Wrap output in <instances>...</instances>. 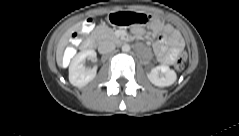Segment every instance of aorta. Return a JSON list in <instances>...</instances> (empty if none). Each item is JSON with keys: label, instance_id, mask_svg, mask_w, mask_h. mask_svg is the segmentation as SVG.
<instances>
[{"label": "aorta", "instance_id": "762f6f07", "mask_svg": "<svg viewBox=\"0 0 239 136\" xmlns=\"http://www.w3.org/2000/svg\"><path fill=\"white\" fill-rule=\"evenodd\" d=\"M122 51H123V52H129V51H130V46H129L128 44H124V45L122 46Z\"/></svg>", "mask_w": 239, "mask_h": 136}]
</instances>
